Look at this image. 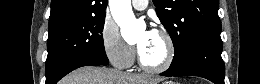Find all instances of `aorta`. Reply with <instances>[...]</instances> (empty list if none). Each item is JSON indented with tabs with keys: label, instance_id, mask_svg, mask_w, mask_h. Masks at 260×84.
I'll use <instances>...</instances> for the list:
<instances>
[{
	"label": "aorta",
	"instance_id": "obj_1",
	"mask_svg": "<svg viewBox=\"0 0 260 84\" xmlns=\"http://www.w3.org/2000/svg\"><path fill=\"white\" fill-rule=\"evenodd\" d=\"M113 19L121 29L122 37L127 41H135L143 29L137 21L131 7L130 0H109Z\"/></svg>",
	"mask_w": 260,
	"mask_h": 84
}]
</instances>
